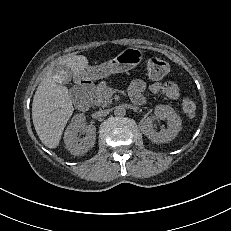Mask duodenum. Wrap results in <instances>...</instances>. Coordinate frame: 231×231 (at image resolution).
I'll return each instance as SVG.
<instances>
[{"label":"duodenum","instance_id":"1","mask_svg":"<svg viewBox=\"0 0 231 231\" xmlns=\"http://www.w3.org/2000/svg\"><path fill=\"white\" fill-rule=\"evenodd\" d=\"M79 90H80V96H79L80 108L82 110H86L90 106L91 96L94 92V84L90 80H82L79 82Z\"/></svg>","mask_w":231,"mask_h":231}]
</instances>
